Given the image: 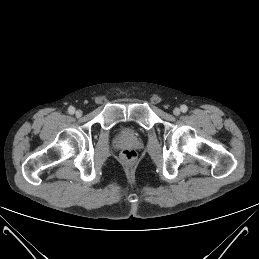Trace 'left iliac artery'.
Wrapping results in <instances>:
<instances>
[{"label": "left iliac artery", "mask_w": 259, "mask_h": 259, "mask_svg": "<svg viewBox=\"0 0 259 259\" xmlns=\"http://www.w3.org/2000/svg\"><path fill=\"white\" fill-rule=\"evenodd\" d=\"M187 110H188V107H187L186 105H182V106H181V111H182L183 113L187 112Z\"/></svg>", "instance_id": "obj_1"}]
</instances>
